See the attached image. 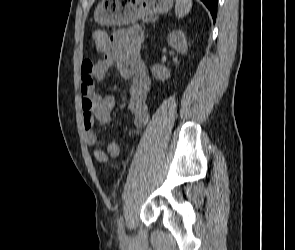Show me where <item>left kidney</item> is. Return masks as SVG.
<instances>
[{
    "label": "left kidney",
    "instance_id": "obj_1",
    "mask_svg": "<svg viewBox=\"0 0 295 250\" xmlns=\"http://www.w3.org/2000/svg\"><path fill=\"white\" fill-rule=\"evenodd\" d=\"M168 44L173 46L177 52L184 54L187 52V41L185 34L181 30L170 32L167 38ZM152 75L160 81H165L170 78V70L166 67L155 64L152 69Z\"/></svg>",
    "mask_w": 295,
    "mask_h": 250
}]
</instances>
